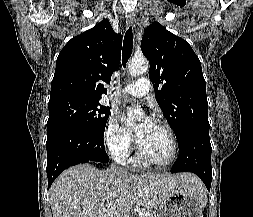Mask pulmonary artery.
<instances>
[{"label":"pulmonary artery","instance_id":"obj_1","mask_svg":"<svg viewBox=\"0 0 253 217\" xmlns=\"http://www.w3.org/2000/svg\"><path fill=\"white\" fill-rule=\"evenodd\" d=\"M150 82L147 78L141 77L135 82L130 83L122 88V93L135 97H144L149 93Z\"/></svg>","mask_w":253,"mask_h":217}]
</instances>
